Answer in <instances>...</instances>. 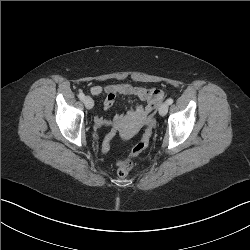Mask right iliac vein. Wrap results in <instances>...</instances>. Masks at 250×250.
Wrapping results in <instances>:
<instances>
[{"label":"right iliac vein","mask_w":250,"mask_h":250,"mask_svg":"<svg viewBox=\"0 0 250 250\" xmlns=\"http://www.w3.org/2000/svg\"><path fill=\"white\" fill-rule=\"evenodd\" d=\"M83 103L87 109H91L94 106V101L90 96H85L83 99Z\"/></svg>","instance_id":"1"}]
</instances>
